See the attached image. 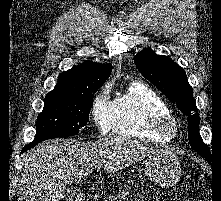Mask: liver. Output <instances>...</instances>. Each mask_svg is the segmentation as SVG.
<instances>
[{
    "label": "liver",
    "mask_w": 221,
    "mask_h": 201,
    "mask_svg": "<svg viewBox=\"0 0 221 201\" xmlns=\"http://www.w3.org/2000/svg\"><path fill=\"white\" fill-rule=\"evenodd\" d=\"M171 149L126 137L81 143L67 139L45 141L23 160L18 201H60L68 184L86 179L96 167L117 172L143 158Z\"/></svg>",
    "instance_id": "6515ba94"
}]
</instances>
